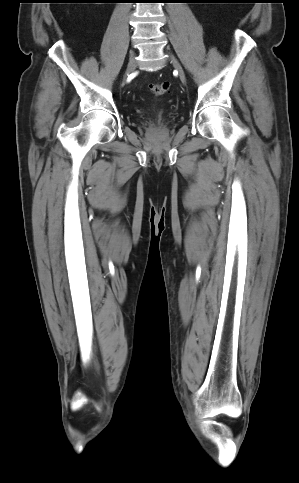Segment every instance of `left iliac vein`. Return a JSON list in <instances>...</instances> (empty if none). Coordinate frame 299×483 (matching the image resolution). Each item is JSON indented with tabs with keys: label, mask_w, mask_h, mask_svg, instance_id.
Masks as SVG:
<instances>
[{
	"label": "left iliac vein",
	"mask_w": 299,
	"mask_h": 483,
	"mask_svg": "<svg viewBox=\"0 0 299 483\" xmlns=\"http://www.w3.org/2000/svg\"><path fill=\"white\" fill-rule=\"evenodd\" d=\"M169 55V60L171 62V64L173 65V67L178 71V74H179V78L181 80V82L183 84H186V76H185V72L181 66V64L179 63V61L174 57V55H172L171 53H168Z\"/></svg>",
	"instance_id": "1"
}]
</instances>
